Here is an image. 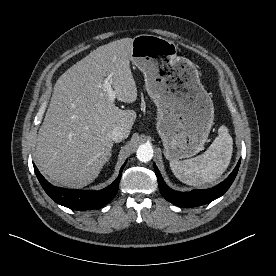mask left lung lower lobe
Listing matches in <instances>:
<instances>
[{"mask_svg": "<svg viewBox=\"0 0 276 276\" xmlns=\"http://www.w3.org/2000/svg\"><path fill=\"white\" fill-rule=\"evenodd\" d=\"M240 161H238L232 173L217 186L205 190H193L191 192H177L170 189L164 182L158 168L154 164L155 173L158 179L159 189L163 197L179 207L191 208L201 206L212 202L221 197L233 183L239 170Z\"/></svg>", "mask_w": 276, "mask_h": 276, "instance_id": "1", "label": "left lung lower lobe"}]
</instances>
